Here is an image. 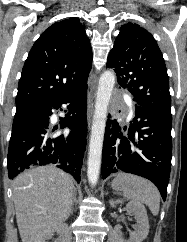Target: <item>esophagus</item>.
<instances>
[{
    "label": "esophagus",
    "mask_w": 187,
    "mask_h": 242,
    "mask_svg": "<svg viewBox=\"0 0 187 242\" xmlns=\"http://www.w3.org/2000/svg\"><path fill=\"white\" fill-rule=\"evenodd\" d=\"M92 112H93V98H92V95L89 93L88 100H87V115H88L89 121L92 116Z\"/></svg>",
    "instance_id": "obj_1"
}]
</instances>
